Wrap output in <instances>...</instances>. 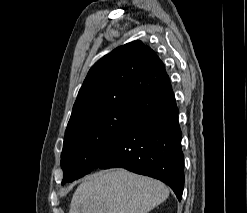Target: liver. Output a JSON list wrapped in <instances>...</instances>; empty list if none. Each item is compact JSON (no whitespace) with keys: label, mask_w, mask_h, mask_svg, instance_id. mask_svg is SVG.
Instances as JSON below:
<instances>
[{"label":"liver","mask_w":247,"mask_h":213,"mask_svg":"<svg viewBox=\"0 0 247 213\" xmlns=\"http://www.w3.org/2000/svg\"><path fill=\"white\" fill-rule=\"evenodd\" d=\"M169 196L167 186L125 169L86 177L73 194L69 213H148Z\"/></svg>","instance_id":"liver-1"}]
</instances>
